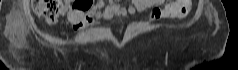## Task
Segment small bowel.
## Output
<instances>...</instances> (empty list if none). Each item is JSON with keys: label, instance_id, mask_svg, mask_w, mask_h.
<instances>
[{"label": "small bowel", "instance_id": "small-bowel-1", "mask_svg": "<svg viewBox=\"0 0 238 70\" xmlns=\"http://www.w3.org/2000/svg\"><path fill=\"white\" fill-rule=\"evenodd\" d=\"M163 4L164 0H132L127 6L121 5L116 1L105 2L100 0L92 4L88 0H79L71 7H67V18L76 31L97 25L101 19L109 20L116 16L134 15L150 7H153L151 12L152 19L173 18L175 15L172 13V8L177 3L175 1L169 2L160 7Z\"/></svg>", "mask_w": 238, "mask_h": 70}]
</instances>
